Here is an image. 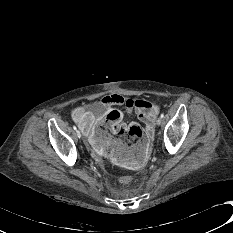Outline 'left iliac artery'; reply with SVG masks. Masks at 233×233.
I'll return each instance as SVG.
<instances>
[{
  "label": "left iliac artery",
  "instance_id": "left-iliac-artery-1",
  "mask_svg": "<svg viewBox=\"0 0 233 233\" xmlns=\"http://www.w3.org/2000/svg\"><path fill=\"white\" fill-rule=\"evenodd\" d=\"M160 117H161V118H164V114L162 113Z\"/></svg>",
  "mask_w": 233,
  "mask_h": 233
}]
</instances>
